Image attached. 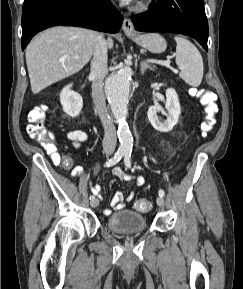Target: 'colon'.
Segmentation results:
<instances>
[{
    "label": "colon",
    "instance_id": "colon-1",
    "mask_svg": "<svg viewBox=\"0 0 243 289\" xmlns=\"http://www.w3.org/2000/svg\"><path fill=\"white\" fill-rule=\"evenodd\" d=\"M193 93L199 98L200 103L204 108L205 119L201 125V129L203 134L206 135L213 129L216 122V114L218 111L216 97L214 93L204 89H194ZM45 112V106L35 107L29 112L27 132L31 138L37 140L45 150L52 155L54 162H61L64 166L70 167L72 164L71 160L67 157L62 158L56 152L53 135L44 126ZM134 207L140 212H148L151 210L152 204L146 199H139L134 203Z\"/></svg>",
    "mask_w": 243,
    "mask_h": 289
}]
</instances>
